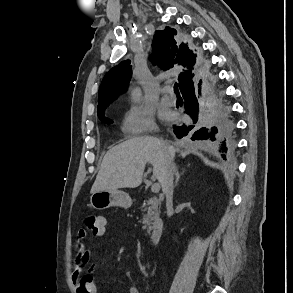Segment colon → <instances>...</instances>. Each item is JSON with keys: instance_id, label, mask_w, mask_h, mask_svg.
Listing matches in <instances>:
<instances>
[{"instance_id": "colon-1", "label": "colon", "mask_w": 293, "mask_h": 293, "mask_svg": "<svg viewBox=\"0 0 293 293\" xmlns=\"http://www.w3.org/2000/svg\"><path fill=\"white\" fill-rule=\"evenodd\" d=\"M84 226L94 235H97L105 228V218L101 215L88 214L85 216Z\"/></svg>"}]
</instances>
